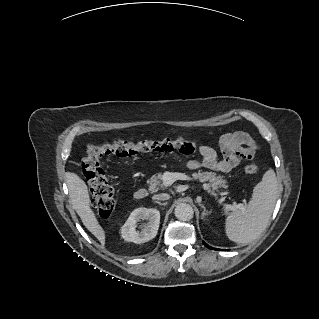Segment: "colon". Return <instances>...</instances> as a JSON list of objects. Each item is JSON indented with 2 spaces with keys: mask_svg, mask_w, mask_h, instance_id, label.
<instances>
[{
  "mask_svg": "<svg viewBox=\"0 0 319 319\" xmlns=\"http://www.w3.org/2000/svg\"><path fill=\"white\" fill-rule=\"evenodd\" d=\"M198 147L197 141L185 139L139 142L106 139L87 145L85 156L81 162V169L89 184L98 217L107 219L114 210V190L103 167V159L106 156L131 157L141 153L165 154L174 152L191 155L196 152ZM244 171L247 174L255 175L259 172V169L255 164L250 163L245 165Z\"/></svg>",
  "mask_w": 319,
  "mask_h": 319,
  "instance_id": "obj_1",
  "label": "colon"
}]
</instances>
